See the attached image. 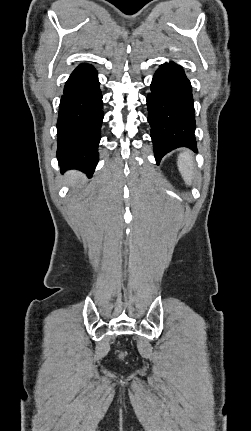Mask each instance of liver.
Returning <instances> with one entry per match:
<instances>
[{
	"instance_id": "obj_1",
	"label": "liver",
	"mask_w": 251,
	"mask_h": 431,
	"mask_svg": "<svg viewBox=\"0 0 251 431\" xmlns=\"http://www.w3.org/2000/svg\"><path fill=\"white\" fill-rule=\"evenodd\" d=\"M67 183L72 187L79 186L82 183L83 175L78 171H70L66 175Z\"/></svg>"
}]
</instances>
